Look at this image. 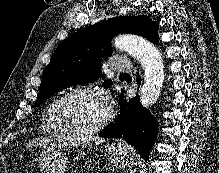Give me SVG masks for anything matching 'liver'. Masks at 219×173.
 Instances as JSON below:
<instances>
[{
  "label": "liver",
  "mask_w": 219,
  "mask_h": 173,
  "mask_svg": "<svg viewBox=\"0 0 219 173\" xmlns=\"http://www.w3.org/2000/svg\"><path fill=\"white\" fill-rule=\"evenodd\" d=\"M104 141L103 138H99V137H87V138H80V139H76V138H67L63 140V146H76L77 144H80V142L82 143H87V144H91V143H95V144H100ZM56 142H53V140L48 139V138H37L35 140H32L31 142L28 143L27 148H32V147H37V146H47L49 144H55ZM59 145L60 141H59Z\"/></svg>",
  "instance_id": "obj_1"
}]
</instances>
